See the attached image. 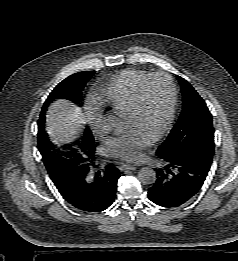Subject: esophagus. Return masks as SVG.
Here are the masks:
<instances>
[{"label": "esophagus", "instance_id": "esophagus-1", "mask_svg": "<svg viewBox=\"0 0 238 261\" xmlns=\"http://www.w3.org/2000/svg\"><path fill=\"white\" fill-rule=\"evenodd\" d=\"M119 169L121 171H125V170H131V171H134L136 170V167L135 166H132V165H128V164H122Z\"/></svg>", "mask_w": 238, "mask_h": 261}]
</instances>
